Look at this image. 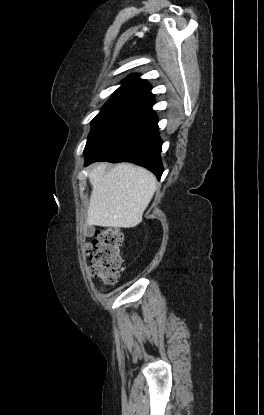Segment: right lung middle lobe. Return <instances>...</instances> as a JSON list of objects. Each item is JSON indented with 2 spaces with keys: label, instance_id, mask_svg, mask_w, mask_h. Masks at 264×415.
Listing matches in <instances>:
<instances>
[{
  "label": "right lung middle lobe",
  "instance_id": "right-lung-middle-lobe-1",
  "mask_svg": "<svg viewBox=\"0 0 264 415\" xmlns=\"http://www.w3.org/2000/svg\"><path fill=\"white\" fill-rule=\"evenodd\" d=\"M143 101L122 96H112L101 111L91 121L92 128L87 138L85 149L89 148L115 122Z\"/></svg>",
  "mask_w": 264,
  "mask_h": 415
}]
</instances>
